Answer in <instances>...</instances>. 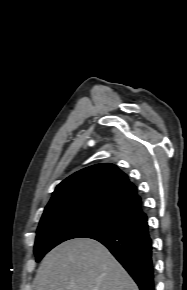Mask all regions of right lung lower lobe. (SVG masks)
I'll return each mask as SVG.
<instances>
[{"instance_id": "obj_1", "label": "right lung lower lobe", "mask_w": 187, "mask_h": 290, "mask_svg": "<svg viewBox=\"0 0 187 290\" xmlns=\"http://www.w3.org/2000/svg\"><path fill=\"white\" fill-rule=\"evenodd\" d=\"M88 238L104 244L128 271L140 290H155L152 244L146 217Z\"/></svg>"}]
</instances>
